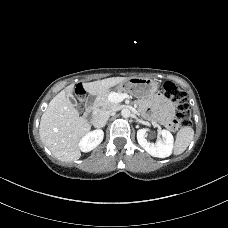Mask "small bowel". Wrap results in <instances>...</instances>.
<instances>
[{"mask_svg":"<svg viewBox=\"0 0 228 228\" xmlns=\"http://www.w3.org/2000/svg\"><path fill=\"white\" fill-rule=\"evenodd\" d=\"M144 107L149 108V110L155 113V117L161 121L162 124H168V114H171L175 107L174 105L166 100L161 95L154 96Z\"/></svg>","mask_w":228,"mask_h":228,"instance_id":"1","label":"small bowel"}]
</instances>
